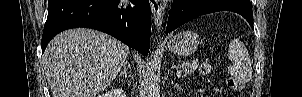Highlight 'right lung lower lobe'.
I'll return each mask as SVG.
<instances>
[{
	"mask_svg": "<svg viewBox=\"0 0 302 97\" xmlns=\"http://www.w3.org/2000/svg\"><path fill=\"white\" fill-rule=\"evenodd\" d=\"M150 22L148 0H48L42 53L49 41L61 31L87 27L110 34L147 55Z\"/></svg>",
	"mask_w": 302,
	"mask_h": 97,
	"instance_id": "1",
	"label": "right lung lower lobe"
}]
</instances>
